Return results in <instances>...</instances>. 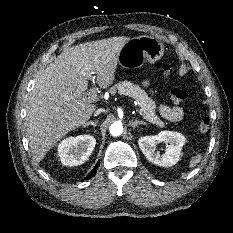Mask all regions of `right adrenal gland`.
Wrapping results in <instances>:
<instances>
[{"label": "right adrenal gland", "instance_id": "1", "mask_svg": "<svg viewBox=\"0 0 233 233\" xmlns=\"http://www.w3.org/2000/svg\"><path fill=\"white\" fill-rule=\"evenodd\" d=\"M97 123H98V121H88L83 125V127H87L89 125L96 127Z\"/></svg>", "mask_w": 233, "mask_h": 233}]
</instances>
